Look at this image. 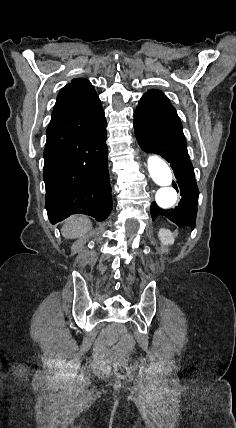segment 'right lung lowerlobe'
<instances>
[{
	"instance_id": "obj_1",
	"label": "right lung lower lobe",
	"mask_w": 236,
	"mask_h": 428,
	"mask_svg": "<svg viewBox=\"0 0 236 428\" xmlns=\"http://www.w3.org/2000/svg\"><path fill=\"white\" fill-rule=\"evenodd\" d=\"M106 119L95 112L52 120L44 150L46 209L52 224L72 214L103 221L112 210Z\"/></svg>"
}]
</instances>
